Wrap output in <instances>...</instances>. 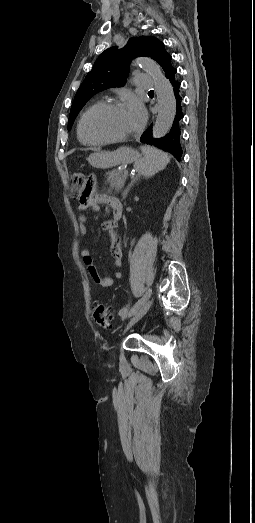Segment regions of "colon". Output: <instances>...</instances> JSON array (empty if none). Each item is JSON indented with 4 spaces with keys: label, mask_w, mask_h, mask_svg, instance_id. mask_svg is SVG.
Listing matches in <instances>:
<instances>
[{
    "label": "colon",
    "mask_w": 255,
    "mask_h": 523,
    "mask_svg": "<svg viewBox=\"0 0 255 523\" xmlns=\"http://www.w3.org/2000/svg\"><path fill=\"white\" fill-rule=\"evenodd\" d=\"M71 180V196L78 199H87L90 195V185L86 177L81 172H73L70 177ZM94 321L103 328L112 327V314L104 304L96 303L93 305Z\"/></svg>",
    "instance_id": "obj_1"
}]
</instances>
